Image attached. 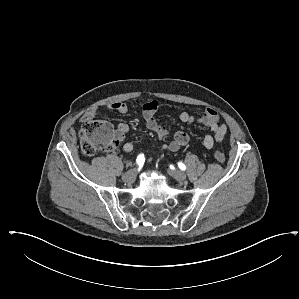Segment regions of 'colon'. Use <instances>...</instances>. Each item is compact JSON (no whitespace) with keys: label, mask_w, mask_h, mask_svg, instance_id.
<instances>
[{"label":"colon","mask_w":299,"mask_h":299,"mask_svg":"<svg viewBox=\"0 0 299 299\" xmlns=\"http://www.w3.org/2000/svg\"><path fill=\"white\" fill-rule=\"evenodd\" d=\"M81 152L85 156H93L99 152L112 150L116 145V134L110 122L103 119H91L84 122L80 133ZM218 162H224L226 157L220 150L214 151Z\"/></svg>","instance_id":"5ec220e1"}]
</instances>
